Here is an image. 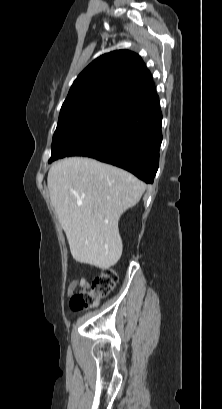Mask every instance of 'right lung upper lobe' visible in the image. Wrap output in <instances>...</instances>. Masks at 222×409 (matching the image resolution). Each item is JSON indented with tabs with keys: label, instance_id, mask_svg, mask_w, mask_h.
I'll return each mask as SVG.
<instances>
[{
	"label": "right lung upper lobe",
	"instance_id": "cb5924a9",
	"mask_svg": "<svg viewBox=\"0 0 222 409\" xmlns=\"http://www.w3.org/2000/svg\"><path fill=\"white\" fill-rule=\"evenodd\" d=\"M155 97L143 60L134 52L119 50L98 57L79 74L61 110L103 103L126 107Z\"/></svg>",
	"mask_w": 222,
	"mask_h": 409
}]
</instances>
